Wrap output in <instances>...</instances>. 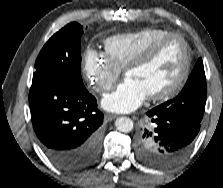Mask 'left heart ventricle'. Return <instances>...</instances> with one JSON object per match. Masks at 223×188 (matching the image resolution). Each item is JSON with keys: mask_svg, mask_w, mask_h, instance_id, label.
Returning a JSON list of instances; mask_svg holds the SVG:
<instances>
[{"mask_svg": "<svg viewBox=\"0 0 223 188\" xmlns=\"http://www.w3.org/2000/svg\"><path fill=\"white\" fill-rule=\"evenodd\" d=\"M184 48L177 38L166 41L143 65L130 70L126 76L135 80L147 96L168 88L177 78L183 63Z\"/></svg>", "mask_w": 223, "mask_h": 188, "instance_id": "obj_1", "label": "left heart ventricle"}]
</instances>
